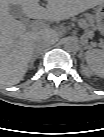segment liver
Masks as SVG:
<instances>
[{
    "instance_id": "1",
    "label": "liver",
    "mask_w": 104,
    "mask_h": 137,
    "mask_svg": "<svg viewBox=\"0 0 104 137\" xmlns=\"http://www.w3.org/2000/svg\"><path fill=\"white\" fill-rule=\"evenodd\" d=\"M47 8L39 0H0V83L18 84L35 56V47L46 42H55L60 31L48 28L28 31L27 26L10 12V5L21 7L23 14L32 19L61 21L87 9L103 5V0H46Z\"/></svg>"
}]
</instances>
